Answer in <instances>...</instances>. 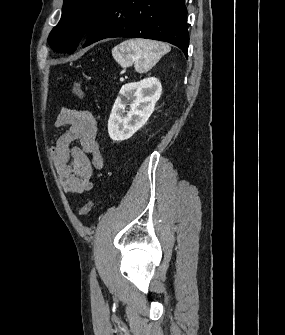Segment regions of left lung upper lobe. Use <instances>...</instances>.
Here are the masks:
<instances>
[{
  "label": "left lung upper lobe",
  "mask_w": 285,
  "mask_h": 335,
  "mask_svg": "<svg viewBox=\"0 0 285 335\" xmlns=\"http://www.w3.org/2000/svg\"><path fill=\"white\" fill-rule=\"evenodd\" d=\"M110 0H64L62 16L49 35L58 52L73 53Z\"/></svg>",
  "instance_id": "obj_1"
}]
</instances>
